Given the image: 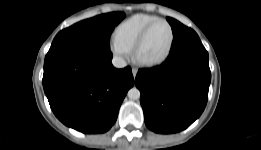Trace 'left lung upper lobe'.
I'll use <instances>...</instances> for the list:
<instances>
[{"label": "left lung upper lobe", "mask_w": 261, "mask_h": 150, "mask_svg": "<svg viewBox=\"0 0 261 150\" xmlns=\"http://www.w3.org/2000/svg\"><path fill=\"white\" fill-rule=\"evenodd\" d=\"M167 21L171 25L172 31H173L174 35L186 28V26H184L179 21H177V20H175L173 18L167 17Z\"/></svg>", "instance_id": "1"}]
</instances>
